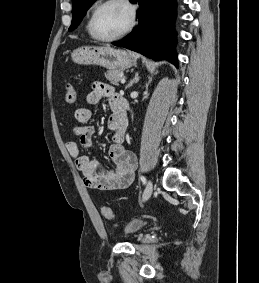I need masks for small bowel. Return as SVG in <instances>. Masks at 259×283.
Masks as SVG:
<instances>
[{"mask_svg": "<svg viewBox=\"0 0 259 283\" xmlns=\"http://www.w3.org/2000/svg\"><path fill=\"white\" fill-rule=\"evenodd\" d=\"M105 98L113 114L107 120V127L112 134V143L108 149L111 167H105L100 162L81 154V148L90 147L94 136V128L88 125L92 118L89 108L81 107L75 111V122L72 133L79 140L66 143V150L75 159L76 166L84 176V184L90 189L119 190L131 185L137 168L136 156L123 146L126 123L117 116L116 108L119 96L114 89L103 83H95L86 97V102L95 105Z\"/></svg>", "mask_w": 259, "mask_h": 283, "instance_id": "small-bowel-1", "label": "small bowel"}]
</instances>
